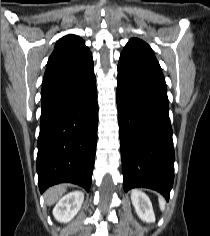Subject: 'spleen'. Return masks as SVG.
<instances>
[{"label":"spleen","mask_w":210,"mask_h":236,"mask_svg":"<svg viewBox=\"0 0 210 236\" xmlns=\"http://www.w3.org/2000/svg\"><path fill=\"white\" fill-rule=\"evenodd\" d=\"M165 200L163 198H159V205H160V209L164 210L165 209Z\"/></svg>","instance_id":"obj_1"}]
</instances>
